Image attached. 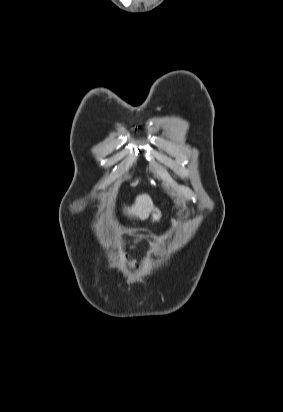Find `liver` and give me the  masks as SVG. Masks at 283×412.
I'll return each mask as SVG.
<instances>
[{"instance_id":"1","label":"liver","mask_w":283,"mask_h":412,"mask_svg":"<svg viewBox=\"0 0 283 412\" xmlns=\"http://www.w3.org/2000/svg\"><path fill=\"white\" fill-rule=\"evenodd\" d=\"M153 209L154 205L151 197L148 194H142L136 197L135 203L131 207L124 209V213L130 217L133 216L145 220L149 217Z\"/></svg>"}]
</instances>
